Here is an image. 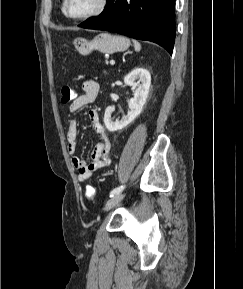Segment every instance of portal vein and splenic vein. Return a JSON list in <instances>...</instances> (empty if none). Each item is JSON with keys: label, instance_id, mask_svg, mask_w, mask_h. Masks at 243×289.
I'll return each mask as SVG.
<instances>
[{"label": "portal vein and splenic vein", "instance_id": "obj_1", "mask_svg": "<svg viewBox=\"0 0 243 289\" xmlns=\"http://www.w3.org/2000/svg\"><path fill=\"white\" fill-rule=\"evenodd\" d=\"M110 64H111V65H114V64H115V61H114V60H111V61H110Z\"/></svg>", "mask_w": 243, "mask_h": 289}]
</instances>
